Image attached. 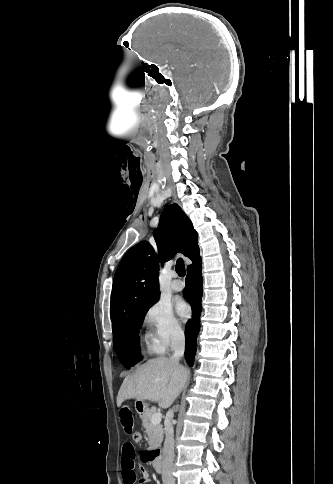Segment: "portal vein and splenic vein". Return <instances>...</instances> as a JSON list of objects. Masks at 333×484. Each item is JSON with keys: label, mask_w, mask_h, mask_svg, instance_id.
Instances as JSON below:
<instances>
[{"label": "portal vein and splenic vein", "mask_w": 333, "mask_h": 484, "mask_svg": "<svg viewBox=\"0 0 333 484\" xmlns=\"http://www.w3.org/2000/svg\"><path fill=\"white\" fill-rule=\"evenodd\" d=\"M162 414L160 412L154 413L151 418V423L158 424L161 422Z\"/></svg>", "instance_id": "1"}]
</instances>
